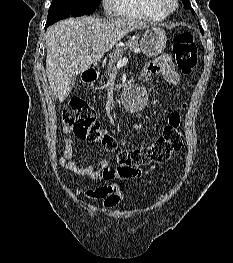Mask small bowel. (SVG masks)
I'll return each instance as SVG.
<instances>
[{"instance_id": "1", "label": "small bowel", "mask_w": 233, "mask_h": 263, "mask_svg": "<svg viewBox=\"0 0 233 263\" xmlns=\"http://www.w3.org/2000/svg\"><path fill=\"white\" fill-rule=\"evenodd\" d=\"M144 75L162 74L167 83L178 85L180 76L175 70L172 59L169 55L164 54L154 61L148 63L143 70ZM71 133L68 127L63 129V134ZM74 141L70 138L64 140L63 150L60 157V164L79 177L89 176L93 181L110 182L106 185L86 191V197L90 200H100L105 208L116 206L123 198V190L116 182L118 179H126L130 175L120 173L118 168L109 165L106 161L100 160L95 165L79 169L73 161ZM141 172L138 173L139 176Z\"/></svg>"}]
</instances>
